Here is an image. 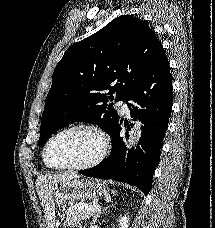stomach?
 <instances>
[{
    "instance_id": "obj_1",
    "label": "stomach",
    "mask_w": 215,
    "mask_h": 228,
    "mask_svg": "<svg viewBox=\"0 0 215 228\" xmlns=\"http://www.w3.org/2000/svg\"><path fill=\"white\" fill-rule=\"evenodd\" d=\"M105 194H107V190L101 180H64V182H59L52 188V200L55 204V210L64 208L65 202L95 200V198H101ZM57 216L60 220H56V226L63 220V216H60L59 212Z\"/></svg>"
}]
</instances>
